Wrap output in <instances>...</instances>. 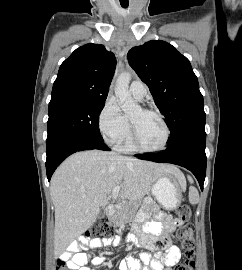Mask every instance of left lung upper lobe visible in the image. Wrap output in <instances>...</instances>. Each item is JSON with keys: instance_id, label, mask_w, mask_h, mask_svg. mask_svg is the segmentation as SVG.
<instances>
[{"instance_id": "5c2ea615", "label": "left lung upper lobe", "mask_w": 242, "mask_h": 270, "mask_svg": "<svg viewBox=\"0 0 242 270\" xmlns=\"http://www.w3.org/2000/svg\"><path fill=\"white\" fill-rule=\"evenodd\" d=\"M128 61L166 118L169 144L189 133L205 131L203 96L185 56L167 42L152 40L132 48Z\"/></svg>"}]
</instances>
